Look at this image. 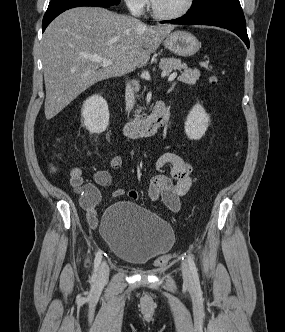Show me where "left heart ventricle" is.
I'll list each match as a JSON object with an SVG mask.
<instances>
[{
	"mask_svg": "<svg viewBox=\"0 0 285 332\" xmlns=\"http://www.w3.org/2000/svg\"><path fill=\"white\" fill-rule=\"evenodd\" d=\"M156 10L163 14H174L184 8L187 0H153Z\"/></svg>",
	"mask_w": 285,
	"mask_h": 332,
	"instance_id": "left-heart-ventricle-1",
	"label": "left heart ventricle"
}]
</instances>
